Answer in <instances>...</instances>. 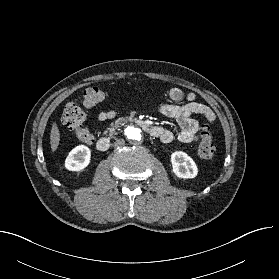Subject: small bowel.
<instances>
[{
	"mask_svg": "<svg viewBox=\"0 0 279 279\" xmlns=\"http://www.w3.org/2000/svg\"><path fill=\"white\" fill-rule=\"evenodd\" d=\"M169 98L179 103L185 100V103L178 104H161L158 111L169 118H173L179 124L181 130L175 134L172 131L157 127L158 134L156 137L160 138L165 143H170L178 140L182 143H190L199 139V134L203 130V126L193 117V115H201L208 122L215 120V114L210 107L196 101V94L194 92L184 93L181 89L173 87L168 91ZM116 112L112 109L100 111L97 119L100 123H105L108 120L115 118Z\"/></svg>",
	"mask_w": 279,
	"mask_h": 279,
	"instance_id": "obj_1",
	"label": "small bowel"
}]
</instances>
